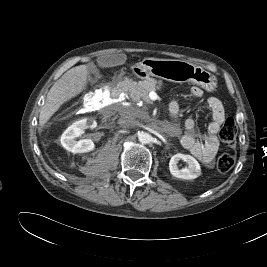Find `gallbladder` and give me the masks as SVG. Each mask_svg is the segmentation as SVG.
Masks as SVG:
<instances>
[{"mask_svg": "<svg viewBox=\"0 0 267 267\" xmlns=\"http://www.w3.org/2000/svg\"><path fill=\"white\" fill-rule=\"evenodd\" d=\"M115 64H117V61H116V59L114 57L101 56L98 59V65L101 68H106V67H109V66H113ZM88 68H89L90 72H92V73L96 72L94 64H89Z\"/></svg>", "mask_w": 267, "mask_h": 267, "instance_id": "gallbladder-1", "label": "gallbladder"}]
</instances>
